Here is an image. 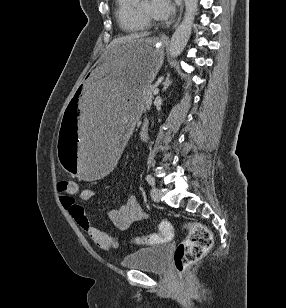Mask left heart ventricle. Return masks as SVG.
<instances>
[{
	"label": "left heart ventricle",
	"mask_w": 286,
	"mask_h": 308,
	"mask_svg": "<svg viewBox=\"0 0 286 308\" xmlns=\"http://www.w3.org/2000/svg\"><path fill=\"white\" fill-rule=\"evenodd\" d=\"M137 6L141 10V12H143L147 16H149V17H151L153 19L156 18V16L153 14L152 6H151V1L150 0H143Z\"/></svg>",
	"instance_id": "b2bd125f"
}]
</instances>
